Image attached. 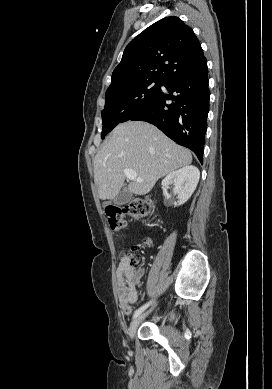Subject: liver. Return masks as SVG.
<instances>
[{
  "instance_id": "obj_1",
  "label": "liver",
  "mask_w": 272,
  "mask_h": 389,
  "mask_svg": "<svg viewBox=\"0 0 272 389\" xmlns=\"http://www.w3.org/2000/svg\"><path fill=\"white\" fill-rule=\"evenodd\" d=\"M191 152L174 143L155 126L142 121L119 124L94 158V181L101 200H112L125 181V169L134 170L142 182L133 180L128 190L145 195L158 179L188 166Z\"/></svg>"
}]
</instances>
